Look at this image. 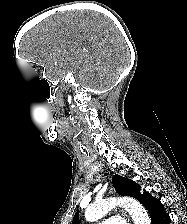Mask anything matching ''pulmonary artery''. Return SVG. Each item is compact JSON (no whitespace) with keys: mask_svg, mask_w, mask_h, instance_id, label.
Masks as SVG:
<instances>
[{"mask_svg":"<svg viewBox=\"0 0 187 224\" xmlns=\"http://www.w3.org/2000/svg\"><path fill=\"white\" fill-rule=\"evenodd\" d=\"M98 224H123V222L120 219L113 217V218H109L105 221H102Z\"/></svg>","mask_w":187,"mask_h":224,"instance_id":"obj_1","label":"pulmonary artery"}]
</instances>
